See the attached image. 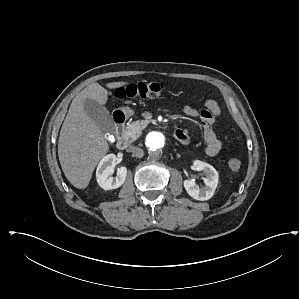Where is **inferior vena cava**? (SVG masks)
<instances>
[{"label":"inferior vena cava","mask_w":299,"mask_h":299,"mask_svg":"<svg viewBox=\"0 0 299 299\" xmlns=\"http://www.w3.org/2000/svg\"><path fill=\"white\" fill-rule=\"evenodd\" d=\"M128 151L132 152V154L137 158H141L144 155L143 149L136 147V146L129 147Z\"/></svg>","instance_id":"602c4592"}]
</instances>
